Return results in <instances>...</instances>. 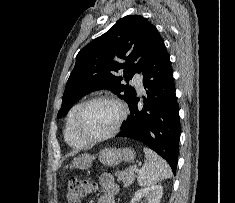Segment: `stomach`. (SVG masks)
I'll return each mask as SVG.
<instances>
[{
  "instance_id": "stomach-1",
  "label": "stomach",
  "mask_w": 235,
  "mask_h": 203,
  "mask_svg": "<svg viewBox=\"0 0 235 203\" xmlns=\"http://www.w3.org/2000/svg\"><path fill=\"white\" fill-rule=\"evenodd\" d=\"M88 153L82 154L74 159L72 167L78 169H87L91 166L92 161L95 159ZM135 158V152L131 148H104L98 153L99 161L107 166H115L121 162H131Z\"/></svg>"
}]
</instances>
